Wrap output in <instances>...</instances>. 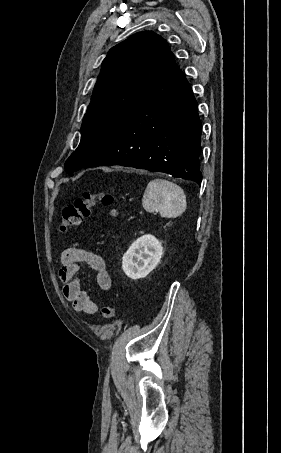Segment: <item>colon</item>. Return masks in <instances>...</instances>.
Returning <instances> with one entry per match:
<instances>
[{
    "label": "colon",
    "instance_id": "obj_1",
    "mask_svg": "<svg viewBox=\"0 0 281 453\" xmlns=\"http://www.w3.org/2000/svg\"><path fill=\"white\" fill-rule=\"evenodd\" d=\"M100 203L111 206L114 212L117 213L120 206V199L116 194L115 188L84 194L65 205L60 221V228L63 231H68L80 227L89 218L91 209ZM115 315L116 305L114 303H106L102 306L101 317L104 321L112 320Z\"/></svg>",
    "mask_w": 281,
    "mask_h": 453
}]
</instances>
